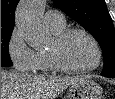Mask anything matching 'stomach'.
<instances>
[{"instance_id": "0dacf381", "label": "stomach", "mask_w": 115, "mask_h": 99, "mask_svg": "<svg viewBox=\"0 0 115 99\" xmlns=\"http://www.w3.org/2000/svg\"><path fill=\"white\" fill-rule=\"evenodd\" d=\"M102 87L95 81L81 78L71 85L68 92V99H101Z\"/></svg>"}]
</instances>
